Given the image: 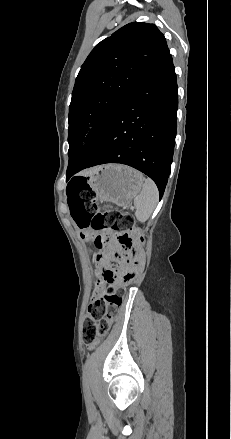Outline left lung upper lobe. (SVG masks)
<instances>
[{
    "mask_svg": "<svg viewBox=\"0 0 231 439\" xmlns=\"http://www.w3.org/2000/svg\"><path fill=\"white\" fill-rule=\"evenodd\" d=\"M168 54L164 35L154 24L143 22L129 23L95 46L81 66L72 92L70 159L102 129L128 92Z\"/></svg>",
    "mask_w": 231,
    "mask_h": 439,
    "instance_id": "5c2ea615",
    "label": "left lung upper lobe"
}]
</instances>
